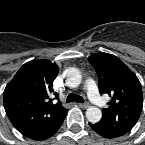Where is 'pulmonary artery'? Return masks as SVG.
<instances>
[{"label":"pulmonary artery","mask_w":145,"mask_h":145,"mask_svg":"<svg viewBox=\"0 0 145 145\" xmlns=\"http://www.w3.org/2000/svg\"><path fill=\"white\" fill-rule=\"evenodd\" d=\"M86 86L89 99L98 107L104 105V100L100 96L95 82L92 79H88Z\"/></svg>","instance_id":"obj_1"}]
</instances>
